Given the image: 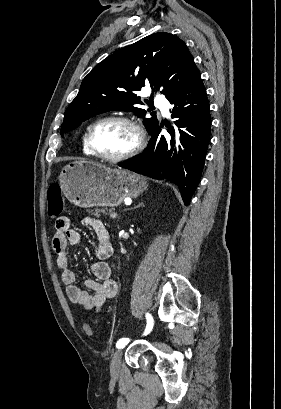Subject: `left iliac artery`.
Returning <instances> with one entry per match:
<instances>
[{
	"mask_svg": "<svg viewBox=\"0 0 281 409\" xmlns=\"http://www.w3.org/2000/svg\"><path fill=\"white\" fill-rule=\"evenodd\" d=\"M146 317H147V325H146V329H145L144 335H147V334L152 330V327H153V318L151 317V315L147 314ZM128 342H129V339H128V338H122V339H120V340L117 342L116 347H117L118 349L124 348L125 345H126Z\"/></svg>",
	"mask_w": 281,
	"mask_h": 409,
	"instance_id": "left-iliac-artery-1",
	"label": "left iliac artery"
}]
</instances>
